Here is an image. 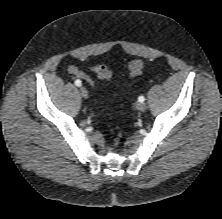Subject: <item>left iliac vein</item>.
I'll return each instance as SVG.
<instances>
[{"mask_svg": "<svg viewBox=\"0 0 222 219\" xmlns=\"http://www.w3.org/2000/svg\"><path fill=\"white\" fill-rule=\"evenodd\" d=\"M136 108H137V110H139V111H144V110H146L147 105H146L145 102H138V103L136 104Z\"/></svg>", "mask_w": 222, "mask_h": 219, "instance_id": "left-iliac-vein-1", "label": "left iliac vein"}]
</instances>
